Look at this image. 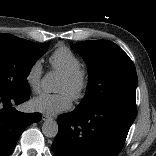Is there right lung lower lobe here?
<instances>
[{
  "instance_id": "98d812e1",
  "label": "right lung lower lobe",
  "mask_w": 156,
  "mask_h": 156,
  "mask_svg": "<svg viewBox=\"0 0 156 156\" xmlns=\"http://www.w3.org/2000/svg\"><path fill=\"white\" fill-rule=\"evenodd\" d=\"M29 99V92L14 94L0 90V156H8L24 129L41 119V113H22L12 105Z\"/></svg>"
}]
</instances>
